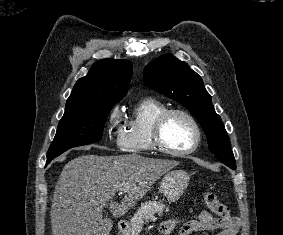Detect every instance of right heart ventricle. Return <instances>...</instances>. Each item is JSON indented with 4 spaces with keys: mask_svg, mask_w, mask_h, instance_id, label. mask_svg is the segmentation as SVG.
Instances as JSON below:
<instances>
[{
    "mask_svg": "<svg viewBox=\"0 0 283 235\" xmlns=\"http://www.w3.org/2000/svg\"><path fill=\"white\" fill-rule=\"evenodd\" d=\"M168 109L167 105L152 97L139 100L130 110L120 131V147L131 153H149L155 150L151 132L157 117Z\"/></svg>",
    "mask_w": 283,
    "mask_h": 235,
    "instance_id": "right-heart-ventricle-1",
    "label": "right heart ventricle"
}]
</instances>
